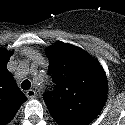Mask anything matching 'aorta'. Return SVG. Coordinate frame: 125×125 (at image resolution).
<instances>
[{"label":"aorta","mask_w":125,"mask_h":125,"mask_svg":"<svg viewBox=\"0 0 125 125\" xmlns=\"http://www.w3.org/2000/svg\"><path fill=\"white\" fill-rule=\"evenodd\" d=\"M50 82H51L50 79L48 77H46V79L44 81L45 86L49 88V86L51 85Z\"/></svg>","instance_id":"obj_1"}]
</instances>
